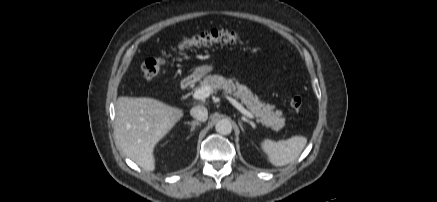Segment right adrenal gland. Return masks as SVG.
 I'll use <instances>...</instances> for the list:
<instances>
[{
    "label": "right adrenal gland",
    "mask_w": 437,
    "mask_h": 202,
    "mask_svg": "<svg viewBox=\"0 0 437 202\" xmlns=\"http://www.w3.org/2000/svg\"><path fill=\"white\" fill-rule=\"evenodd\" d=\"M185 124L191 125V132H193L195 130V127L197 125H200V122L198 121H193V122H185Z\"/></svg>",
    "instance_id": "obj_1"
}]
</instances>
